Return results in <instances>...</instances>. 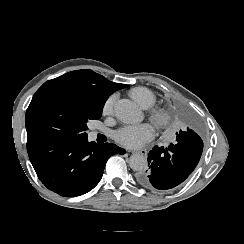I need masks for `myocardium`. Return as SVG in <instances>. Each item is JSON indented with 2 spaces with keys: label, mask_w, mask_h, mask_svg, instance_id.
I'll return each mask as SVG.
<instances>
[{
  "label": "myocardium",
  "mask_w": 244,
  "mask_h": 244,
  "mask_svg": "<svg viewBox=\"0 0 244 244\" xmlns=\"http://www.w3.org/2000/svg\"><path fill=\"white\" fill-rule=\"evenodd\" d=\"M148 117L158 127H164L168 124V117L161 110L152 109Z\"/></svg>",
  "instance_id": "1"
}]
</instances>
